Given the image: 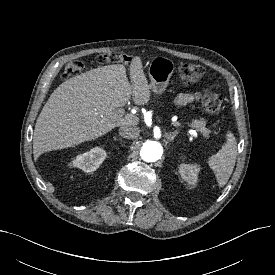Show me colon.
<instances>
[{
    "mask_svg": "<svg viewBox=\"0 0 275 275\" xmlns=\"http://www.w3.org/2000/svg\"><path fill=\"white\" fill-rule=\"evenodd\" d=\"M129 61V56L116 51L101 53L97 56V62L99 64L127 63ZM82 68L83 64L80 61H72L64 68L63 76L69 77L77 75L81 72ZM178 74L183 83L189 84L200 80L205 74V69L198 64L185 63L179 66ZM202 105L206 112L210 114H219L222 110L223 102L213 88L208 87L203 92Z\"/></svg>",
    "mask_w": 275,
    "mask_h": 275,
    "instance_id": "colon-1",
    "label": "colon"
}]
</instances>
